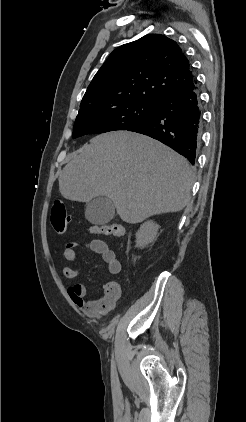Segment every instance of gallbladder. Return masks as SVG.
<instances>
[{"mask_svg": "<svg viewBox=\"0 0 246 422\" xmlns=\"http://www.w3.org/2000/svg\"><path fill=\"white\" fill-rule=\"evenodd\" d=\"M114 215L115 206L107 197H96L86 205L85 217L92 224H106L113 219Z\"/></svg>", "mask_w": 246, "mask_h": 422, "instance_id": "bac80fb5", "label": "gallbladder"}]
</instances>
